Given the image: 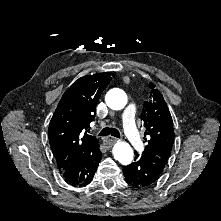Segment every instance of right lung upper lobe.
<instances>
[{
    "label": "right lung upper lobe",
    "instance_id": "cb5924a9",
    "mask_svg": "<svg viewBox=\"0 0 221 221\" xmlns=\"http://www.w3.org/2000/svg\"><path fill=\"white\" fill-rule=\"evenodd\" d=\"M112 75L104 72L83 76L63 94L48 129L50 146L60 171L98 143L86 130L94 121L96 105Z\"/></svg>",
    "mask_w": 221,
    "mask_h": 221
}]
</instances>
